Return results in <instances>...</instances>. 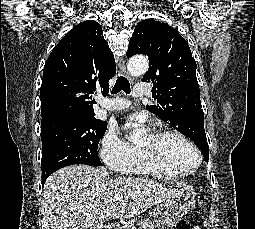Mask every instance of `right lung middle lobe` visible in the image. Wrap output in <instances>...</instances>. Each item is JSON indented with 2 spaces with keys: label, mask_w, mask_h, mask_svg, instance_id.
<instances>
[{
  "label": "right lung middle lobe",
  "mask_w": 255,
  "mask_h": 229,
  "mask_svg": "<svg viewBox=\"0 0 255 229\" xmlns=\"http://www.w3.org/2000/svg\"><path fill=\"white\" fill-rule=\"evenodd\" d=\"M107 122L94 115L54 116L41 121L42 175L72 164L101 166L98 143Z\"/></svg>",
  "instance_id": "dd1d6c3e"
}]
</instances>
